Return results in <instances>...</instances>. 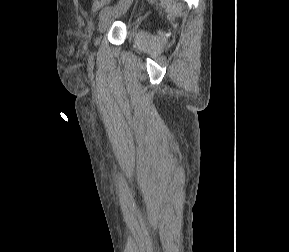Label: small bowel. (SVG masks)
Returning a JSON list of instances; mask_svg holds the SVG:
<instances>
[{"instance_id": "small-bowel-1", "label": "small bowel", "mask_w": 289, "mask_h": 252, "mask_svg": "<svg viewBox=\"0 0 289 252\" xmlns=\"http://www.w3.org/2000/svg\"><path fill=\"white\" fill-rule=\"evenodd\" d=\"M109 2L110 0H93L91 5V11H99L100 9L104 8V6L107 5Z\"/></svg>"}]
</instances>
